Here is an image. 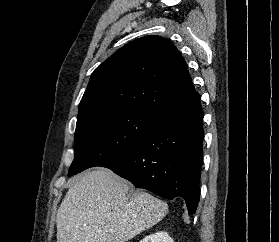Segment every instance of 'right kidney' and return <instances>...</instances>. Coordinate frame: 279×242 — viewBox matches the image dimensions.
Listing matches in <instances>:
<instances>
[{
  "label": "right kidney",
  "mask_w": 279,
  "mask_h": 242,
  "mask_svg": "<svg viewBox=\"0 0 279 242\" xmlns=\"http://www.w3.org/2000/svg\"><path fill=\"white\" fill-rule=\"evenodd\" d=\"M140 242H174L173 239L164 231H159L150 234L142 239Z\"/></svg>",
  "instance_id": "ca27d5eb"
}]
</instances>
